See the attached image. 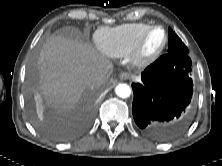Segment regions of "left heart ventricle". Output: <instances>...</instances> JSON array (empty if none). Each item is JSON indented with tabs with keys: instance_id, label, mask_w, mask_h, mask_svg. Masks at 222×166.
Masks as SVG:
<instances>
[{
	"instance_id": "obj_1",
	"label": "left heart ventricle",
	"mask_w": 222,
	"mask_h": 166,
	"mask_svg": "<svg viewBox=\"0 0 222 166\" xmlns=\"http://www.w3.org/2000/svg\"><path fill=\"white\" fill-rule=\"evenodd\" d=\"M163 36L162 30H153L145 41L144 52L147 54L154 52L161 45Z\"/></svg>"
}]
</instances>
